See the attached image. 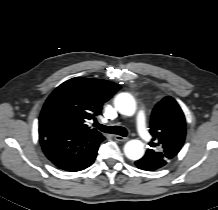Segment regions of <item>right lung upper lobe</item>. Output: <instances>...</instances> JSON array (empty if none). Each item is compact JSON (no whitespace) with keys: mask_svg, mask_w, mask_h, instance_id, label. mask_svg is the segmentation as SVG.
I'll return each mask as SVG.
<instances>
[{"mask_svg":"<svg viewBox=\"0 0 218 210\" xmlns=\"http://www.w3.org/2000/svg\"><path fill=\"white\" fill-rule=\"evenodd\" d=\"M118 84L107 80L76 77L58 86L44 106L58 110L65 121L64 130L77 134H101L88 126L102 106L118 90Z\"/></svg>","mask_w":218,"mask_h":210,"instance_id":"1","label":"right lung upper lobe"}]
</instances>
